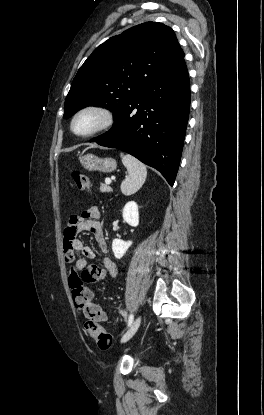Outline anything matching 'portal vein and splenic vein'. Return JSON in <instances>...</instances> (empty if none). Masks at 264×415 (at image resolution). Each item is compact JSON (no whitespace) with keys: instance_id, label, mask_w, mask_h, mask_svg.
<instances>
[{"instance_id":"portal-vein-and-splenic-vein-1","label":"portal vein and splenic vein","mask_w":264,"mask_h":415,"mask_svg":"<svg viewBox=\"0 0 264 415\" xmlns=\"http://www.w3.org/2000/svg\"><path fill=\"white\" fill-rule=\"evenodd\" d=\"M105 182H106V184H110L111 183V180L110 179H106Z\"/></svg>"}]
</instances>
